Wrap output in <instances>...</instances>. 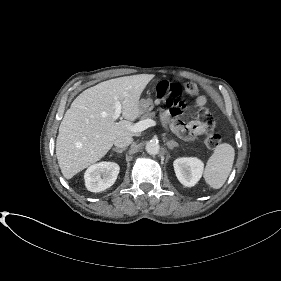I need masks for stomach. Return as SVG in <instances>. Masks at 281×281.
Here are the masks:
<instances>
[{"label":"stomach","mask_w":281,"mask_h":281,"mask_svg":"<svg viewBox=\"0 0 281 281\" xmlns=\"http://www.w3.org/2000/svg\"><path fill=\"white\" fill-rule=\"evenodd\" d=\"M153 107H154L153 101L150 98L142 99L139 102L140 114H144V113L151 111L153 109Z\"/></svg>","instance_id":"0dacf381"}]
</instances>
